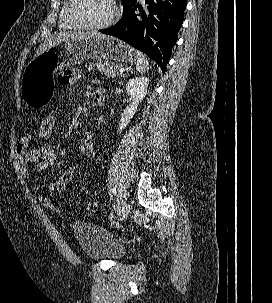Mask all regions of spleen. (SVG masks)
<instances>
[{
    "mask_svg": "<svg viewBox=\"0 0 272 303\" xmlns=\"http://www.w3.org/2000/svg\"><path fill=\"white\" fill-rule=\"evenodd\" d=\"M137 54V61H136V70L139 73H145L149 70V61L143 53L136 51Z\"/></svg>",
    "mask_w": 272,
    "mask_h": 303,
    "instance_id": "spleen-1",
    "label": "spleen"
}]
</instances>
